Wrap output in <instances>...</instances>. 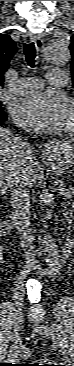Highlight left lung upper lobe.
Listing matches in <instances>:
<instances>
[{"label":"left lung upper lobe","mask_w":74,"mask_h":366,"mask_svg":"<svg viewBox=\"0 0 74 366\" xmlns=\"http://www.w3.org/2000/svg\"><path fill=\"white\" fill-rule=\"evenodd\" d=\"M69 49L72 54L71 72H72V86L74 87V35L71 37V44Z\"/></svg>","instance_id":"obj_1"}]
</instances>
